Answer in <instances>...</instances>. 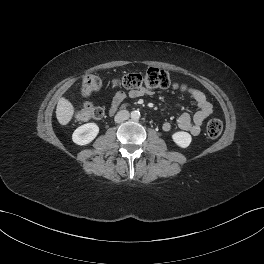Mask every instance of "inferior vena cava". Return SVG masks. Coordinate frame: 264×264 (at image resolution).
I'll list each match as a JSON object with an SVG mask.
<instances>
[{"instance_id":"1","label":"inferior vena cava","mask_w":264,"mask_h":264,"mask_svg":"<svg viewBox=\"0 0 264 264\" xmlns=\"http://www.w3.org/2000/svg\"><path fill=\"white\" fill-rule=\"evenodd\" d=\"M129 117H130L129 111L121 110L115 115L114 120L116 123H121V122L129 119Z\"/></svg>"}]
</instances>
